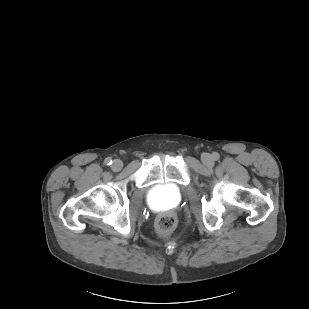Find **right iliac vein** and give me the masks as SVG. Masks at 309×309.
Returning <instances> with one entry per match:
<instances>
[{
	"label": "right iliac vein",
	"mask_w": 309,
	"mask_h": 309,
	"mask_svg": "<svg viewBox=\"0 0 309 309\" xmlns=\"http://www.w3.org/2000/svg\"><path fill=\"white\" fill-rule=\"evenodd\" d=\"M123 167V163L121 160L119 159H116L113 161L112 165H111V168L113 171H120Z\"/></svg>",
	"instance_id": "right-iliac-vein-1"
}]
</instances>
